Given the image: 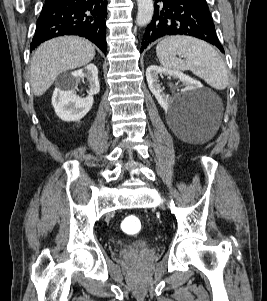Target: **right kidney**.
<instances>
[{
	"label": "right kidney",
	"mask_w": 267,
	"mask_h": 301,
	"mask_svg": "<svg viewBox=\"0 0 267 301\" xmlns=\"http://www.w3.org/2000/svg\"><path fill=\"white\" fill-rule=\"evenodd\" d=\"M89 82V92L85 98L76 94L81 79ZM98 68L89 64L85 68L71 72L67 82L54 90L52 105L56 115L63 121H80L92 108L93 95L99 93Z\"/></svg>",
	"instance_id": "obj_1"
}]
</instances>
